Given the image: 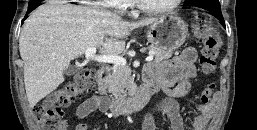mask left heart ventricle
<instances>
[{
    "mask_svg": "<svg viewBox=\"0 0 257 130\" xmlns=\"http://www.w3.org/2000/svg\"><path fill=\"white\" fill-rule=\"evenodd\" d=\"M142 2L152 8H161L169 5L173 0H142Z\"/></svg>",
    "mask_w": 257,
    "mask_h": 130,
    "instance_id": "left-heart-ventricle-1",
    "label": "left heart ventricle"
}]
</instances>
